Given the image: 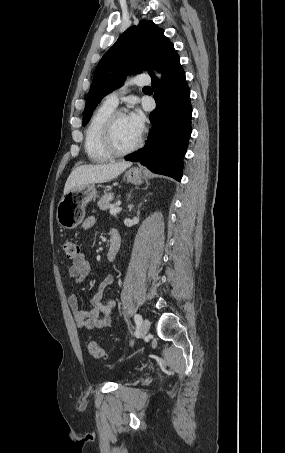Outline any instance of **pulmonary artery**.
I'll use <instances>...</instances> for the list:
<instances>
[{
    "mask_svg": "<svg viewBox=\"0 0 285 453\" xmlns=\"http://www.w3.org/2000/svg\"><path fill=\"white\" fill-rule=\"evenodd\" d=\"M150 82L149 77L146 74H138L131 78L125 83L121 88L114 90L107 94L104 98V102L108 103L111 106L116 107L119 102V97L121 94H124L130 84H135L138 86L147 85Z\"/></svg>",
    "mask_w": 285,
    "mask_h": 453,
    "instance_id": "e3ab8cb5",
    "label": "pulmonary artery"
}]
</instances>
